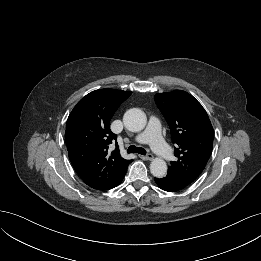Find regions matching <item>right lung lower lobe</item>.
<instances>
[{
    "label": "right lung lower lobe",
    "instance_id": "obj_1",
    "mask_svg": "<svg viewBox=\"0 0 261 261\" xmlns=\"http://www.w3.org/2000/svg\"><path fill=\"white\" fill-rule=\"evenodd\" d=\"M121 182H119L117 185H115L114 187H116V186H118L119 184H120ZM114 187H112V188H114ZM111 189V188H110Z\"/></svg>",
    "mask_w": 261,
    "mask_h": 261
}]
</instances>
